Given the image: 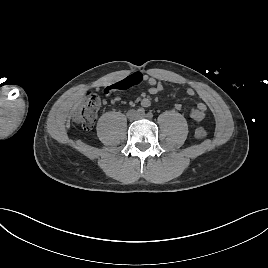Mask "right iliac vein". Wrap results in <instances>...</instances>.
<instances>
[{
  "instance_id": "1",
  "label": "right iliac vein",
  "mask_w": 268,
  "mask_h": 268,
  "mask_svg": "<svg viewBox=\"0 0 268 268\" xmlns=\"http://www.w3.org/2000/svg\"><path fill=\"white\" fill-rule=\"evenodd\" d=\"M127 116H128V118H129L130 120H136L137 117H138V114H137L136 111H134V110H130V111L128 112Z\"/></svg>"
}]
</instances>
